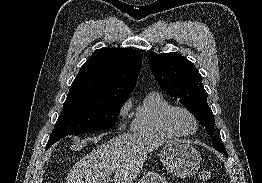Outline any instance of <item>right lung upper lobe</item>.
Listing matches in <instances>:
<instances>
[{"label": "right lung upper lobe", "instance_id": "right-lung-upper-lobe-1", "mask_svg": "<svg viewBox=\"0 0 262 183\" xmlns=\"http://www.w3.org/2000/svg\"><path fill=\"white\" fill-rule=\"evenodd\" d=\"M142 56L131 48H101L85 62L69 94L127 98L134 90Z\"/></svg>", "mask_w": 262, "mask_h": 183}]
</instances>
